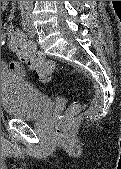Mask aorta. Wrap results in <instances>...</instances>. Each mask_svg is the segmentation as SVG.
I'll use <instances>...</instances> for the list:
<instances>
[{"label":"aorta","instance_id":"1","mask_svg":"<svg viewBox=\"0 0 121 169\" xmlns=\"http://www.w3.org/2000/svg\"><path fill=\"white\" fill-rule=\"evenodd\" d=\"M20 4H24V5H29V4H32L33 1H19Z\"/></svg>","mask_w":121,"mask_h":169}]
</instances>
